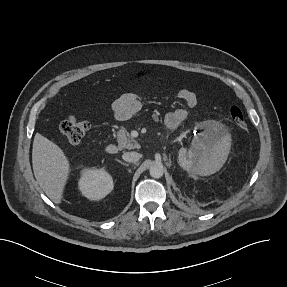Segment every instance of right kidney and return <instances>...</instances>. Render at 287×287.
<instances>
[{
	"instance_id": "obj_1",
	"label": "right kidney",
	"mask_w": 287,
	"mask_h": 287,
	"mask_svg": "<svg viewBox=\"0 0 287 287\" xmlns=\"http://www.w3.org/2000/svg\"><path fill=\"white\" fill-rule=\"evenodd\" d=\"M82 195L89 200H100L113 190V179L105 169H84L79 180Z\"/></svg>"
}]
</instances>
